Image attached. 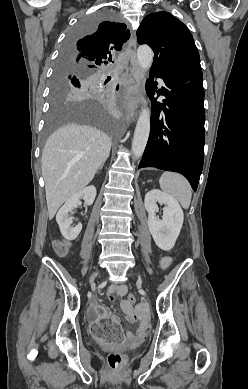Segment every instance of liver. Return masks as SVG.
Returning <instances> with one entry per match:
<instances>
[{
	"label": "liver",
	"mask_w": 248,
	"mask_h": 389,
	"mask_svg": "<svg viewBox=\"0 0 248 389\" xmlns=\"http://www.w3.org/2000/svg\"><path fill=\"white\" fill-rule=\"evenodd\" d=\"M110 149L108 135L88 125L68 124L50 135L41 160L50 219L92 181Z\"/></svg>",
	"instance_id": "liver-1"
}]
</instances>
